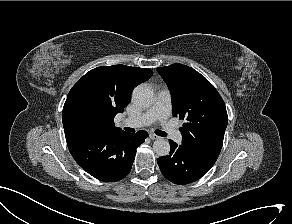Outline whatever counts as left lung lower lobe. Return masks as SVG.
Returning <instances> with one entry per match:
<instances>
[{"label": "left lung lower lobe", "instance_id": "0a47b994", "mask_svg": "<svg viewBox=\"0 0 292 224\" xmlns=\"http://www.w3.org/2000/svg\"><path fill=\"white\" fill-rule=\"evenodd\" d=\"M169 155L157 159L162 175L175 184L192 183L203 177L214 165L201 155L169 140Z\"/></svg>", "mask_w": 292, "mask_h": 224}]
</instances>
